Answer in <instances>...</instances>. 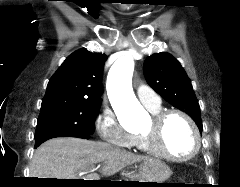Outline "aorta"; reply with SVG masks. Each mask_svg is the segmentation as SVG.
Listing matches in <instances>:
<instances>
[{
	"instance_id": "aorta-1",
	"label": "aorta",
	"mask_w": 240,
	"mask_h": 187,
	"mask_svg": "<svg viewBox=\"0 0 240 187\" xmlns=\"http://www.w3.org/2000/svg\"><path fill=\"white\" fill-rule=\"evenodd\" d=\"M134 60L127 55L118 59L110 68L107 76V94L120 121L128 117L134 122L147 117V113L134 95L132 76Z\"/></svg>"
}]
</instances>
